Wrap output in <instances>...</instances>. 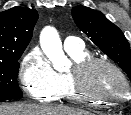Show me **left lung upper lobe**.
Returning a JSON list of instances; mask_svg holds the SVG:
<instances>
[{
	"instance_id": "5c2ea615",
	"label": "left lung upper lobe",
	"mask_w": 131,
	"mask_h": 115,
	"mask_svg": "<svg viewBox=\"0 0 131 115\" xmlns=\"http://www.w3.org/2000/svg\"><path fill=\"white\" fill-rule=\"evenodd\" d=\"M77 26L113 61L131 80V51L122 31L100 11L83 5L72 8Z\"/></svg>"
}]
</instances>
